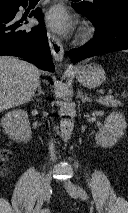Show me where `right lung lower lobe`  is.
<instances>
[{
    "label": "right lung lower lobe",
    "instance_id": "98d812e1",
    "mask_svg": "<svg viewBox=\"0 0 128 213\" xmlns=\"http://www.w3.org/2000/svg\"><path fill=\"white\" fill-rule=\"evenodd\" d=\"M27 2L28 0L0 11V55L21 57L35 63L40 69L53 72L54 65L44 26L39 24L26 30L21 28V20L14 19L19 6H26ZM40 11L36 9L30 16L34 15L40 20Z\"/></svg>",
    "mask_w": 128,
    "mask_h": 213
}]
</instances>
